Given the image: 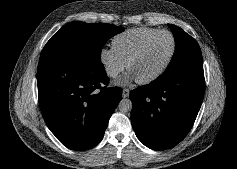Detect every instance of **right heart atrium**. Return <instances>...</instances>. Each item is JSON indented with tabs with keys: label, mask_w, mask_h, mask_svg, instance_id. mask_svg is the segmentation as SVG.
<instances>
[{
	"label": "right heart atrium",
	"mask_w": 237,
	"mask_h": 169,
	"mask_svg": "<svg viewBox=\"0 0 237 169\" xmlns=\"http://www.w3.org/2000/svg\"><path fill=\"white\" fill-rule=\"evenodd\" d=\"M100 61L107 75L112 78L117 77L126 67V62L113 48H103L100 51Z\"/></svg>",
	"instance_id": "right-heart-atrium-1"
}]
</instances>
